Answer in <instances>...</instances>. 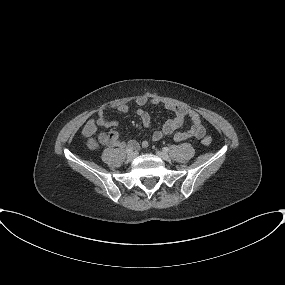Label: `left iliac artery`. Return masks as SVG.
I'll return each mask as SVG.
<instances>
[{
  "mask_svg": "<svg viewBox=\"0 0 285 285\" xmlns=\"http://www.w3.org/2000/svg\"><path fill=\"white\" fill-rule=\"evenodd\" d=\"M163 151H164L165 153H167V152L169 151V149H168L167 147H164V148H163Z\"/></svg>",
  "mask_w": 285,
  "mask_h": 285,
  "instance_id": "1",
  "label": "left iliac artery"
}]
</instances>
